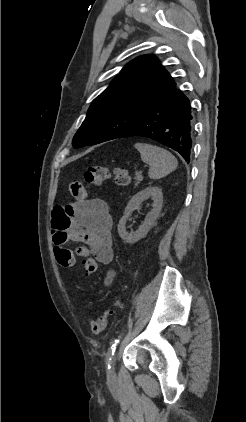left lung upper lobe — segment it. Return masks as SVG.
<instances>
[{
    "instance_id": "5c2ea615",
    "label": "left lung upper lobe",
    "mask_w": 246,
    "mask_h": 422,
    "mask_svg": "<svg viewBox=\"0 0 246 422\" xmlns=\"http://www.w3.org/2000/svg\"><path fill=\"white\" fill-rule=\"evenodd\" d=\"M91 103L73 138L75 148L116 139L138 121L172 84L173 78L153 55L127 63Z\"/></svg>"
}]
</instances>
